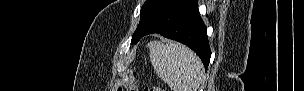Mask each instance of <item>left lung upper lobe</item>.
<instances>
[{
    "instance_id": "obj_1",
    "label": "left lung upper lobe",
    "mask_w": 304,
    "mask_h": 91,
    "mask_svg": "<svg viewBox=\"0 0 304 91\" xmlns=\"http://www.w3.org/2000/svg\"><path fill=\"white\" fill-rule=\"evenodd\" d=\"M171 0H146L140 11V22L131 43H137L142 35L156 22Z\"/></svg>"
}]
</instances>
